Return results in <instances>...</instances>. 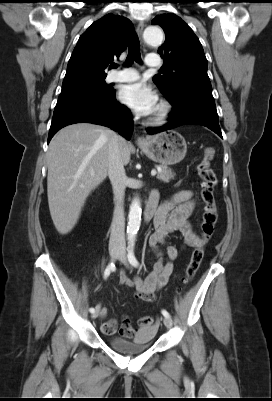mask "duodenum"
Here are the masks:
<instances>
[{
    "label": "duodenum",
    "mask_w": 272,
    "mask_h": 401,
    "mask_svg": "<svg viewBox=\"0 0 272 401\" xmlns=\"http://www.w3.org/2000/svg\"><path fill=\"white\" fill-rule=\"evenodd\" d=\"M157 202H158V194L151 193L144 211L145 221L149 222L153 218L157 208Z\"/></svg>",
    "instance_id": "duodenum-1"
}]
</instances>
